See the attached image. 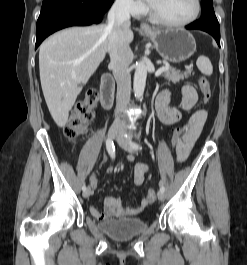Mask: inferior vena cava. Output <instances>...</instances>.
<instances>
[{"label": "inferior vena cava", "instance_id": "602c4592", "mask_svg": "<svg viewBox=\"0 0 247 265\" xmlns=\"http://www.w3.org/2000/svg\"><path fill=\"white\" fill-rule=\"evenodd\" d=\"M131 0H116L108 13V52L110 67L117 82V112L114 123L124 125L120 110L126 107L130 100L131 75L129 65L132 61V51L125 38V31L130 28Z\"/></svg>", "mask_w": 247, "mask_h": 265}]
</instances>
